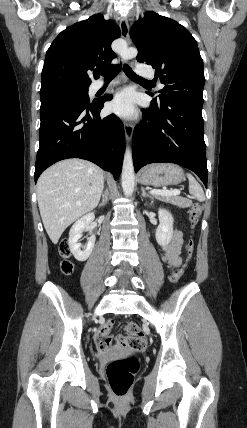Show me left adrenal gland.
Masks as SVG:
<instances>
[{
  "mask_svg": "<svg viewBox=\"0 0 247 428\" xmlns=\"http://www.w3.org/2000/svg\"><path fill=\"white\" fill-rule=\"evenodd\" d=\"M141 190H142V196H143V197L147 196V197L152 198V196L146 192V190L144 189V187H143V186L141 187Z\"/></svg>",
  "mask_w": 247,
  "mask_h": 428,
  "instance_id": "obj_1",
  "label": "left adrenal gland"
}]
</instances>
